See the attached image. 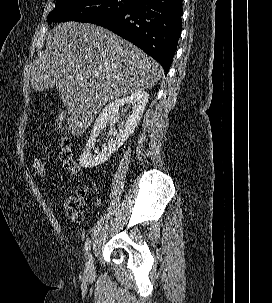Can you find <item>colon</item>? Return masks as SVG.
<instances>
[{"mask_svg": "<svg viewBox=\"0 0 272 303\" xmlns=\"http://www.w3.org/2000/svg\"><path fill=\"white\" fill-rule=\"evenodd\" d=\"M55 128L58 131L64 129V118L59 117L56 120ZM60 159L65 169L77 175L79 169L74 162V152L69 137H63L60 143ZM31 167L35 176L44 178L48 174V168L45 160L40 156H34L31 160ZM85 195L86 192L82 187H75L62 200V210L72 220H79L85 211Z\"/></svg>", "mask_w": 272, "mask_h": 303, "instance_id": "colon-1", "label": "colon"}]
</instances>
